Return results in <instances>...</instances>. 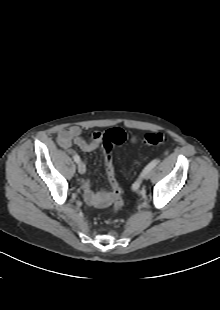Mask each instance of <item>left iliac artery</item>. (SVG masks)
<instances>
[{
  "label": "left iliac artery",
  "instance_id": "1",
  "mask_svg": "<svg viewBox=\"0 0 220 310\" xmlns=\"http://www.w3.org/2000/svg\"><path fill=\"white\" fill-rule=\"evenodd\" d=\"M159 160L158 159H154L153 161H151L142 171V173L140 174L139 178L132 184V189L134 191L138 190L141 183H142V179L144 178V175L146 173H148L149 171H151L157 164H158Z\"/></svg>",
  "mask_w": 220,
  "mask_h": 310
}]
</instances>
